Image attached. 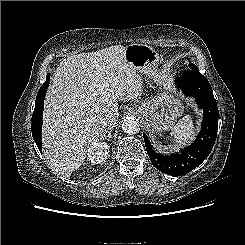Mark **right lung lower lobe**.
<instances>
[{"instance_id": "right-lung-lower-lobe-1", "label": "right lung lower lobe", "mask_w": 245, "mask_h": 245, "mask_svg": "<svg viewBox=\"0 0 245 245\" xmlns=\"http://www.w3.org/2000/svg\"><path fill=\"white\" fill-rule=\"evenodd\" d=\"M43 103H44V99H42L41 101L35 104V109L32 115V124H31L32 136L40 151L42 150L41 131H42V117H43L42 113L44 108Z\"/></svg>"}]
</instances>
